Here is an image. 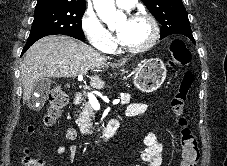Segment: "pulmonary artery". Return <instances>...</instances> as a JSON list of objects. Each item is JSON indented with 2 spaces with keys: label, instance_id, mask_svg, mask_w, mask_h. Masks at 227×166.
Segmentation results:
<instances>
[{
  "label": "pulmonary artery",
  "instance_id": "pulmonary-artery-1",
  "mask_svg": "<svg viewBox=\"0 0 227 166\" xmlns=\"http://www.w3.org/2000/svg\"><path fill=\"white\" fill-rule=\"evenodd\" d=\"M137 0H116L118 7L122 9H131L135 6Z\"/></svg>",
  "mask_w": 227,
  "mask_h": 166
}]
</instances>
